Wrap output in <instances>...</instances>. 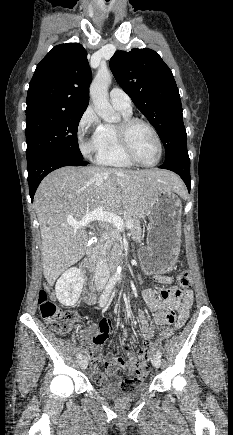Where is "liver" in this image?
<instances>
[{
	"mask_svg": "<svg viewBox=\"0 0 233 435\" xmlns=\"http://www.w3.org/2000/svg\"><path fill=\"white\" fill-rule=\"evenodd\" d=\"M166 190L182 195L185 188L177 175L157 168L66 166L48 174L34 197L47 282L53 283L85 255L88 233L71 227L69 221L79 222L98 207L107 212L123 207L128 215L144 217L156 196Z\"/></svg>",
	"mask_w": 233,
	"mask_h": 435,
	"instance_id": "liver-1",
	"label": "liver"
}]
</instances>
